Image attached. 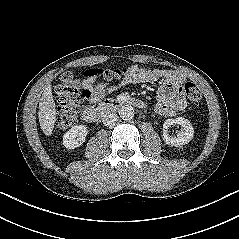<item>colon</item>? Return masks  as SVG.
<instances>
[{
    "label": "colon",
    "mask_w": 239,
    "mask_h": 239,
    "mask_svg": "<svg viewBox=\"0 0 239 239\" xmlns=\"http://www.w3.org/2000/svg\"><path fill=\"white\" fill-rule=\"evenodd\" d=\"M128 73L122 69H105L97 70L104 81L112 82L119 80ZM182 90L186 93L192 104H197L201 100L199 88L191 82H187L182 86ZM56 96L59 102V125L64 128L72 127L76 121L80 106V89L77 79L71 73H64L61 76L60 84L56 88Z\"/></svg>",
    "instance_id": "colon-1"
}]
</instances>
